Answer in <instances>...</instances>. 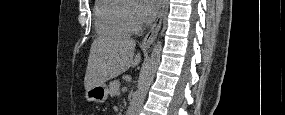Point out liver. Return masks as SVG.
I'll return each instance as SVG.
<instances>
[{
	"label": "liver",
	"mask_w": 285,
	"mask_h": 115,
	"mask_svg": "<svg viewBox=\"0 0 285 115\" xmlns=\"http://www.w3.org/2000/svg\"><path fill=\"white\" fill-rule=\"evenodd\" d=\"M135 40L123 37H98L91 45L86 74L85 89L104 84L130 67L137 66L141 54L134 56Z\"/></svg>",
	"instance_id": "liver-1"
}]
</instances>
